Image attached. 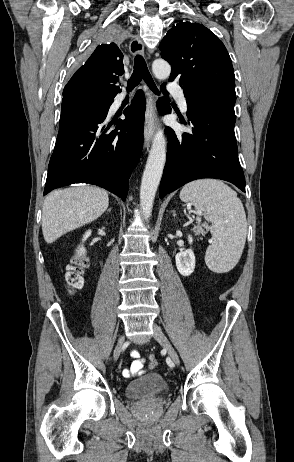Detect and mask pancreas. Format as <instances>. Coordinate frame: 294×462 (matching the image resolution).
<instances>
[{"instance_id":"pancreas-1","label":"pancreas","mask_w":294,"mask_h":462,"mask_svg":"<svg viewBox=\"0 0 294 462\" xmlns=\"http://www.w3.org/2000/svg\"><path fill=\"white\" fill-rule=\"evenodd\" d=\"M192 231L196 236H199L200 234H205L203 226L202 225H196L192 228Z\"/></svg>"}]
</instances>
